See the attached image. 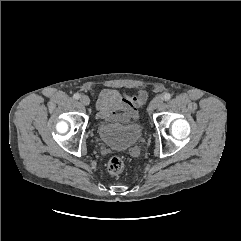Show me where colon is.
Instances as JSON below:
<instances>
[{"mask_svg": "<svg viewBox=\"0 0 241 241\" xmlns=\"http://www.w3.org/2000/svg\"><path fill=\"white\" fill-rule=\"evenodd\" d=\"M124 161L118 156L112 157L107 164V170L110 174L117 175L120 174L124 169Z\"/></svg>", "mask_w": 241, "mask_h": 241, "instance_id": "1", "label": "colon"}]
</instances>
